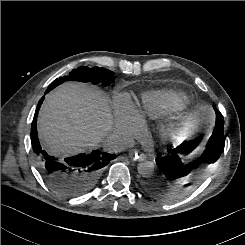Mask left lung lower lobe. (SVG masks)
<instances>
[{"mask_svg": "<svg viewBox=\"0 0 245 245\" xmlns=\"http://www.w3.org/2000/svg\"><path fill=\"white\" fill-rule=\"evenodd\" d=\"M216 124L215 129L210 137L208 147L203 151L199 157V165L206 166L216 162L223 150L224 146V119L219 110L215 109ZM201 138L194 140L184 141L181 144L167 148L165 155H158L156 158V164L159 169V176L162 180L170 183L171 190L177 192L180 188H185L192 184L191 170L188 165L182 162V155L190 153L194 150ZM185 184V185H183ZM154 183L149 182L146 184V189L152 191Z\"/></svg>", "mask_w": 245, "mask_h": 245, "instance_id": "1", "label": "left lung lower lobe"}]
</instances>
